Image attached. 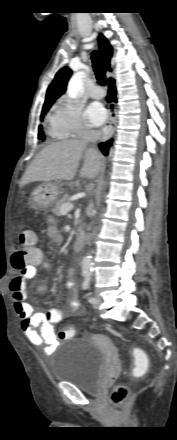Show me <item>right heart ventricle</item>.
<instances>
[{"mask_svg":"<svg viewBox=\"0 0 177 440\" xmlns=\"http://www.w3.org/2000/svg\"><path fill=\"white\" fill-rule=\"evenodd\" d=\"M48 123H49V128H48L49 135L53 138H58V139L63 138V136L60 134L59 130L57 129L53 116L48 117Z\"/></svg>","mask_w":177,"mask_h":440,"instance_id":"1","label":"right heart ventricle"}]
</instances>
